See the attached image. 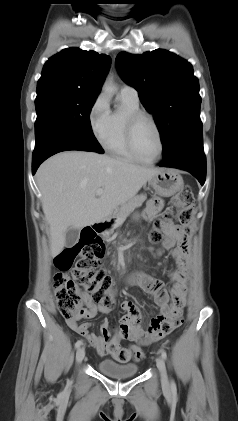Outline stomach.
<instances>
[{"mask_svg":"<svg viewBox=\"0 0 238 421\" xmlns=\"http://www.w3.org/2000/svg\"><path fill=\"white\" fill-rule=\"evenodd\" d=\"M148 184L156 194L164 197L174 195L184 186L182 176L173 169H162L148 180ZM138 217V214H134V219H138Z\"/></svg>","mask_w":238,"mask_h":421,"instance_id":"stomach-1","label":"stomach"}]
</instances>
